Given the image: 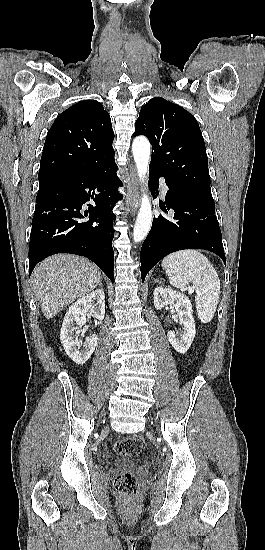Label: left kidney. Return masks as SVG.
Listing matches in <instances>:
<instances>
[{
	"label": "left kidney",
	"mask_w": 265,
	"mask_h": 550,
	"mask_svg": "<svg viewBox=\"0 0 265 550\" xmlns=\"http://www.w3.org/2000/svg\"><path fill=\"white\" fill-rule=\"evenodd\" d=\"M154 306L157 310L170 305L175 308L179 324L182 326L180 331H168L167 337L174 349L184 354L190 348L195 334V321L193 318L192 304L189 298L180 292L171 288L157 287L154 290Z\"/></svg>",
	"instance_id": "obj_1"
}]
</instances>
